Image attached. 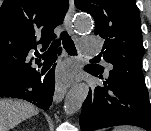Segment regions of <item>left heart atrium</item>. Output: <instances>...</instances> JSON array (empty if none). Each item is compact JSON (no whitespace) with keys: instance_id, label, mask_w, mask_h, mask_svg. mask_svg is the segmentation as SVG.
Here are the masks:
<instances>
[{"instance_id":"left-heart-atrium-1","label":"left heart atrium","mask_w":151,"mask_h":131,"mask_svg":"<svg viewBox=\"0 0 151 131\" xmlns=\"http://www.w3.org/2000/svg\"><path fill=\"white\" fill-rule=\"evenodd\" d=\"M72 72L70 69L64 67L58 72V81L61 85H65L72 79Z\"/></svg>"}]
</instances>
